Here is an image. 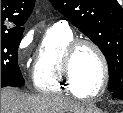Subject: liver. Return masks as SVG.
I'll return each instance as SVG.
<instances>
[{
	"label": "liver",
	"mask_w": 123,
	"mask_h": 113,
	"mask_svg": "<svg viewBox=\"0 0 123 113\" xmlns=\"http://www.w3.org/2000/svg\"><path fill=\"white\" fill-rule=\"evenodd\" d=\"M84 109V105L60 95L23 93L1 89V113H67Z\"/></svg>",
	"instance_id": "obj_1"
}]
</instances>
